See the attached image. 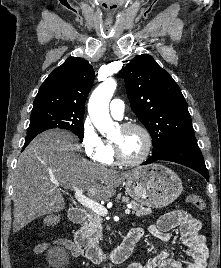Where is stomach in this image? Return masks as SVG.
<instances>
[{"label": "stomach", "mask_w": 221, "mask_h": 268, "mask_svg": "<svg viewBox=\"0 0 221 268\" xmlns=\"http://www.w3.org/2000/svg\"><path fill=\"white\" fill-rule=\"evenodd\" d=\"M127 194L136 202L163 208L174 202L183 190L178 175L166 166L151 164L135 169L125 182Z\"/></svg>", "instance_id": "obj_1"}]
</instances>
